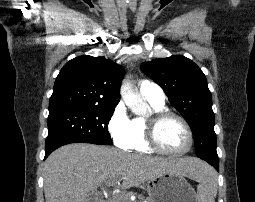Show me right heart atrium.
<instances>
[{
	"instance_id": "d8ad5b80",
	"label": "right heart atrium",
	"mask_w": 255,
	"mask_h": 202,
	"mask_svg": "<svg viewBox=\"0 0 255 202\" xmlns=\"http://www.w3.org/2000/svg\"><path fill=\"white\" fill-rule=\"evenodd\" d=\"M108 132L114 144L122 149H128L131 141V120L126 107L119 103L108 120Z\"/></svg>"
}]
</instances>
